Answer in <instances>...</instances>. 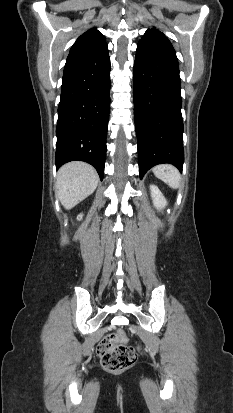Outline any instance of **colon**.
I'll return each mask as SVG.
<instances>
[{
	"mask_svg": "<svg viewBox=\"0 0 233 413\" xmlns=\"http://www.w3.org/2000/svg\"><path fill=\"white\" fill-rule=\"evenodd\" d=\"M103 368L110 372H121L137 360V351L126 344V335L118 330L104 337L97 346Z\"/></svg>",
	"mask_w": 233,
	"mask_h": 413,
	"instance_id": "colon-1",
	"label": "colon"
}]
</instances>
